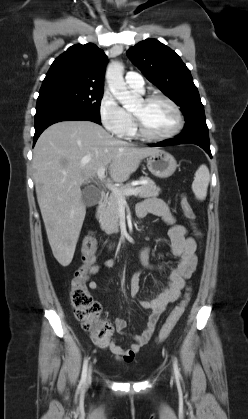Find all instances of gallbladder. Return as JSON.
Wrapping results in <instances>:
<instances>
[{"label":"gallbladder","mask_w":248,"mask_h":419,"mask_svg":"<svg viewBox=\"0 0 248 419\" xmlns=\"http://www.w3.org/2000/svg\"><path fill=\"white\" fill-rule=\"evenodd\" d=\"M100 192L97 188L89 187L82 192V201L85 206H94L100 200Z\"/></svg>","instance_id":"gallbladder-1"}]
</instances>
